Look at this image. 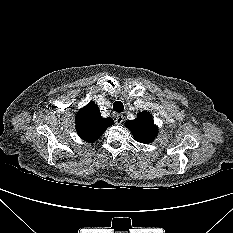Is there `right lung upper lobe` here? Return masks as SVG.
<instances>
[{"instance_id":"right-lung-upper-lobe-1","label":"right lung upper lobe","mask_w":233,"mask_h":233,"mask_svg":"<svg viewBox=\"0 0 233 233\" xmlns=\"http://www.w3.org/2000/svg\"><path fill=\"white\" fill-rule=\"evenodd\" d=\"M75 123L79 137L84 141L94 142L114 121L110 117L102 118L98 106L89 102L77 112Z\"/></svg>"}]
</instances>
